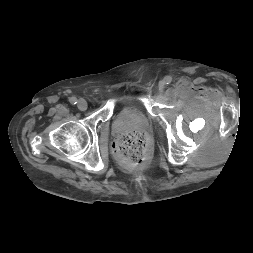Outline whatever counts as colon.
I'll return each mask as SVG.
<instances>
[{
  "label": "colon",
  "instance_id": "1",
  "mask_svg": "<svg viewBox=\"0 0 253 253\" xmlns=\"http://www.w3.org/2000/svg\"><path fill=\"white\" fill-rule=\"evenodd\" d=\"M147 148V136L143 132L135 130L122 134L113 144L116 158L131 167L139 166L145 161Z\"/></svg>",
  "mask_w": 253,
  "mask_h": 253
}]
</instances>
